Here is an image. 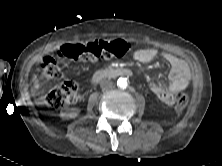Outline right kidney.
Returning <instances> with one entry per match:
<instances>
[{"label": "right kidney", "mask_w": 222, "mask_h": 166, "mask_svg": "<svg viewBox=\"0 0 222 166\" xmlns=\"http://www.w3.org/2000/svg\"><path fill=\"white\" fill-rule=\"evenodd\" d=\"M80 110L77 108H72L70 112H61L60 116L65 119H72L79 115Z\"/></svg>", "instance_id": "1"}]
</instances>
